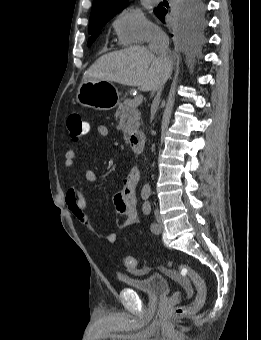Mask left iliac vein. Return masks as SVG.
<instances>
[{"instance_id":"obj_1","label":"left iliac vein","mask_w":261,"mask_h":340,"mask_svg":"<svg viewBox=\"0 0 261 340\" xmlns=\"http://www.w3.org/2000/svg\"><path fill=\"white\" fill-rule=\"evenodd\" d=\"M155 217H156V221H157V225H158V228L155 231V233H160L163 230V224H162L161 217H160L158 211H155Z\"/></svg>"}]
</instances>
